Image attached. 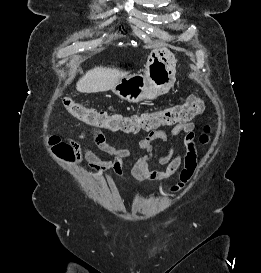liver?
<instances>
[{
	"mask_svg": "<svg viewBox=\"0 0 261 273\" xmlns=\"http://www.w3.org/2000/svg\"><path fill=\"white\" fill-rule=\"evenodd\" d=\"M126 74V71L117 68L94 67L78 80L76 89L81 93L108 91Z\"/></svg>",
	"mask_w": 261,
	"mask_h": 273,
	"instance_id": "1",
	"label": "liver"
}]
</instances>
